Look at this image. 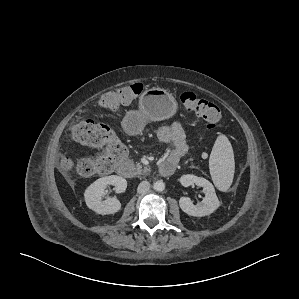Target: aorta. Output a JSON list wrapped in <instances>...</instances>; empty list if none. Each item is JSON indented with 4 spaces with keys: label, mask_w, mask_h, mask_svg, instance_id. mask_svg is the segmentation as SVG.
<instances>
[{
    "label": "aorta",
    "mask_w": 299,
    "mask_h": 299,
    "mask_svg": "<svg viewBox=\"0 0 299 299\" xmlns=\"http://www.w3.org/2000/svg\"><path fill=\"white\" fill-rule=\"evenodd\" d=\"M153 188L155 191L162 192L165 189V184L163 181H156L153 184Z\"/></svg>",
    "instance_id": "aorta-1"
}]
</instances>
